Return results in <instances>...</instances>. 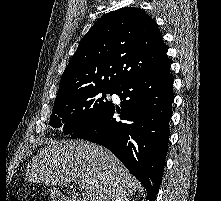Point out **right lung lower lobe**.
Returning <instances> with one entry per match:
<instances>
[{
  "instance_id": "obj_1",
  "label": "right lung lower lobe",
  "mask_w": 221,
  "mask_h": 201,
  "mask_svg": "<svg viewBox=\"0 0 221 201\" xmlns=\"http://www.w3.org/2000/svg\"><path fill=\"white\" fill-rule=\"evenodd\" d=\"M172 86L167 59L153 71L115 89L114 94L122 100L121 109L111 103L71 134V138L98 143L114 153L146 188V200L155 199L162 181L174 100ZM116 112L123 121L116 120Z\"/></svg>"
}]
</instances>
